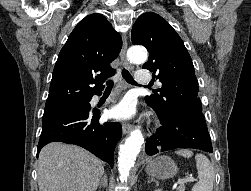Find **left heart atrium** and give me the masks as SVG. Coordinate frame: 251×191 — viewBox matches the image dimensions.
I'll use <instances>...</instances> for the list:
<instances>
[{"mask_svg":"<svg viewBox=\"0 0 251 191\" xmlns=\"http://www.w3.org/2000/svg\"><path fill=\"white\" fill-rule=\"evenodd\" d=\"M136 109L134 103L129 99H124L117 105H115L110 114L112 117L118 120H127L135 115Z\"/></svg>","mask_w":251,"mask_h":191,"instance_id":"39dd6f15","label":"left heart atrium"}]
</instances>
